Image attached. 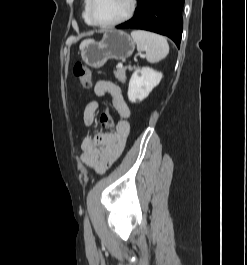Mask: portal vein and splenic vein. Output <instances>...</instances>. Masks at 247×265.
Instances as JSON below:
<instances>
[{
    "label": "portal vein and splenic vein",
    "mask_w": 247,
    "mask_h": 265,
    "mask_svg": "<svg viewBox=\"0 0 247 265\" xmlns=\"http://www.w3.org/2000/svg\"><path fill=\"white\" fill-rule=\"evenodd\" d=\"M140 57H144V55H140ZM119 66H120V67H123V65H122V64H120Z\"/></svg>",
    "instance_id": "1"
}]
</instances>
